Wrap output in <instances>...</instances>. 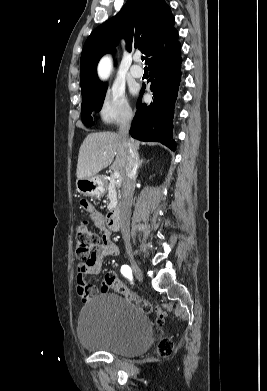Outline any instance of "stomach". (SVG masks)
Segmentation results:
<instances>
[{"mask_svg":"<svg viewBox=\"0 0 267 391\" xmlns=\"http://www.w3.org/2000/svg\"><path fill=\"white\" fill-rule=\"evenodd\" d=\"M77 191L84 196L101 197L105 192V186L102 178L98 175L91 176L85 179H78L76 181Z\"/></svg>","mask_w":267,"mask_h":391,"instance_id":"stomach-1","label":"stomach"}]
</instances>
